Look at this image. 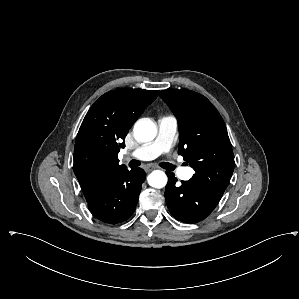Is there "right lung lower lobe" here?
Wrapping results in <instances>:
<instances>
[{
    "label": "right lung lower lobe",
    "instance_id": "obj_1",
    "mask_svg": "<svg viewBox=\"0 0 299 299\" xmlns=\"http://www.w3.org/2000/svg\"><path fill=\"white\" fill-rule=\"evenodd\" d=\"M145 177L141 168L121 170L87 199L89 210L105 223L126 221L136 208Z\"/></svg>",
    "mask_w": 299,
    "mask_h": 299
}]
</instances>
